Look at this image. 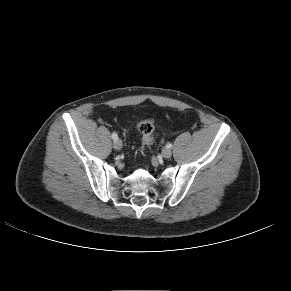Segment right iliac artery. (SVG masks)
I'll return each mask as SVG.
<instances>
[{
    "instance_id": "obj_1",
    "label": "right iliac artery",
    "mask_w": 291,
    "mask_h": 291,
    "mask_svg": "<svg viewBox=\"0 0 291 291\" xmlns=\"http://www.w3.org/2000/svg\"><path fill=\"white\" fill-rule=\"evenodd\" d=\"M112 139L113 140H117L118 139V135L115 132L112 133Z\"/></svg>"
}]
</instances>
